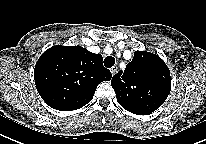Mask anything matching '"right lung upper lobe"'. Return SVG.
<instances>
[{"mask_svg": "<svg viewBox=\"0 0 206 144\" xmlns=\"http://www.w3.org/2000/svg\"><path fill=\"white\" fill-rule=\"evenodd\" d=\"M103 57L81 46H53L37 61L34 80L42 99L60 111L79 109L89 103L102 81L112 78Z\"/></svg>", "mask_w": 206, "mask_h": 144, "instance_id": "1", "label": "right lung upper lobe"}]
</instances>
